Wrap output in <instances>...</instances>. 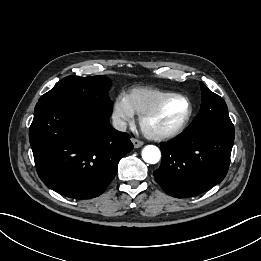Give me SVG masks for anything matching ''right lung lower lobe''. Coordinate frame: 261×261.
<instances>
[{
  "label": "right lung lower lobe",
  "mask_w": 261,
  "mask_h": 261,
  "mask_svg": "<svg viewBox=\"0 0 261 261\" xmlns=\"http://www.w3.org/2000/svg\"><path fill=\"white\" fill-rule=\"evenodd\" d=\"M29 140L43 183L75 199L101 195L133 149L100 109L51 102L36 104Z\"/></svg>",
  "instance_id": "1"
}]
</instances>
